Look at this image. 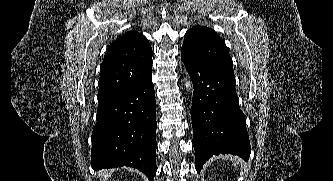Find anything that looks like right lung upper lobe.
<instances>
[{
	"label": "right lung upper lobe",
	"mask_w": 333,
	"mask_h": 181,
	"mask_svg": "<svg viewBox=\"0 0 333 181\" xmlns=\"http://www.w3.org/2000/svg\"><path fill=\"white\" fill-rule=\"evenodd\" d=\"M98 102L152 76V49L140 33L130 31L107 48L100 67Z\"/></svg>",
	"instance_id": "right-lung-upper-lobe-1"
}]
</instances>
